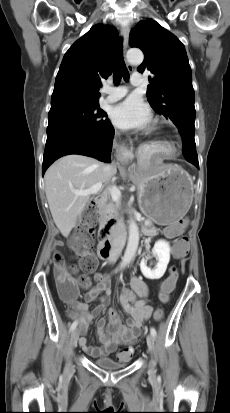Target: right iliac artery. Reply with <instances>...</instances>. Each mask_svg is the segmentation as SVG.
I'll list each match as a JSON object with an SVG mask.
<instances>
[{
    "label": "right iliac artery",
    "instance_id": "right-iliac-artery-1",
    "mask_svg": "<svg viewBox=\"0 0 230 413\" xmlns=\"http://www.w3.org/2000/svg\"><path fill=\"white\" fill-rule=\"evenodd\" d=\"M77 327V322H73L71 327H70V331H73L75 328Z\"/></svg>",
    "mask_w": 230,
    "mask_h": 413
}]
</instances>
